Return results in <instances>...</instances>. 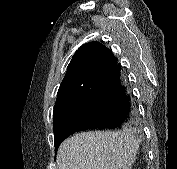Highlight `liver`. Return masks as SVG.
I'll use <instances>...</instances> for the list:
<instances>
[{
  "instance_id": "liver-1",
  "label": "liver",
  "mask_w": 177,
  "mask_h": 169,
  "mask_svg": "<svg viewBox=\"0 0 177 169\" xmlns=\"http://www.w3.org/2000/svg\"><path fill=\"white\" fill-rule=\"evenodd\" d=\"M138 147L130 130L82 132L59 146L57 169H131Z\"/></svg>"
}]
</instances>
